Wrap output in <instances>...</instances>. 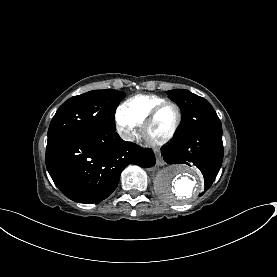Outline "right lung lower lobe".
<instances>
[{"instance_id": "98d812e1", "label": "right lung lower lobe", "mask_w": 277, "mask_h": 277, "mask_svg": "<svg viewBox=\"0 0 277 277\" xmlns=\"http://www.w3.org/2000/svg\"><path fill=\"white\" fill-rule=\"evenodd\" d=\"M47 170L60 191L73 201L97 203L117 187L129 164H155L152 150L123 141L115 130L70 134L47 142Z\"/></svg>"}]
</instances>
